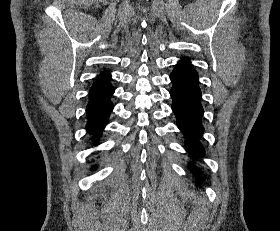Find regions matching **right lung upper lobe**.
Wrapping results in <instances>:
<instances>
[{
	"label": "right lung upper lobe",
	"mask_w": 280,
	"mask_h": 231,
	"mask_svg": "<svg viewBox=\"0 0 280 231\" xmlns=\"http://www.w3.org/2000/svg\"><path fill=\"white\" fill-rule=\"evenodd\" d=\"M111 75L107 71L101 73L95 79V83L92 85L90 89V94H96L102 92L108 88H111L112 85L110 84Z\"/></svg>",
	"instance_id": "cb5924a9"
}]
</instances>
